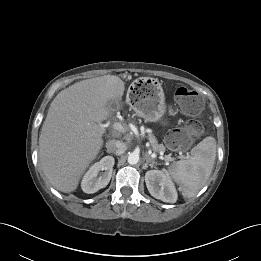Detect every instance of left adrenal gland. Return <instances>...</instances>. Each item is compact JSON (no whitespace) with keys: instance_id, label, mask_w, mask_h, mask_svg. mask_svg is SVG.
<instances>
[{"instance_id":"obj_1","label":"left adrenal gland","mask_w":261,"mask_h":261,"mask_svg":"<svg viewBox=\"0 0 261 261\" xmlns=\"http://www.w3.org/2000/svg\"><path fill=\"white\" fill-rule=\"evenodd\" d=\"M146 165H149L150 167H153L155 162L154 160L148 155H145Z\"/></svg>"}]
</instances>
